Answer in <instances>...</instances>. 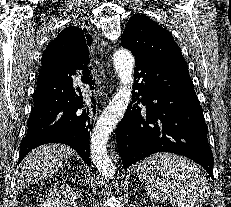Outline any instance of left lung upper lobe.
Returning <instances> with one entry per match:
<instances>
[{
    "mask_svg": "<svg viewBox=\"0 0 231 207\" xmlns=\"http://www.w3.org/2000/svg\"><path fill=\"white\" fill-rule=\"evenodd\" d=\"M121 45L135 55L170 67L187 68L179 46L171 33L150 18L136 14L130 18Z\"/></svg>",
    "mask_w": 231,
    "mask_h": 207,
    "instance_id": "1",
    "label": "left lung upper lobe"
}]
</instances>
